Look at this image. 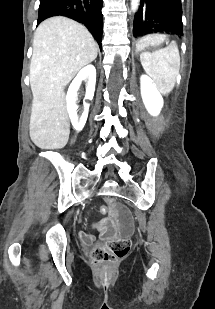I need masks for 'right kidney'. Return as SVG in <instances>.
<instances>
[{
  "label": "right kidney",
  "mask_w": 215,
  "mask_h": 309,
  "mask_svg": "<svg viewBox=\"0 0 215 309\" xmlns=\"http://www.w3.org/2000/svg\"><path fill=\"white\" fill-rule=\"evenodd\" d=\"M85 78H88L85 98H89V100H91V98H93L94 96V90L96 84V68L95 66H93V64H87V66L81 68V70H79L77 76H75L74 80H72L68 88L66 96L67 110L69 112L71 122L74 128H76V130H82L87 120L88 110L90 106V104L84 102V112H82L80 120H78L76 94L82 80H85Z\"/></svg>",
  "instance_id": "right-kidney-1"
}]
</instances>
